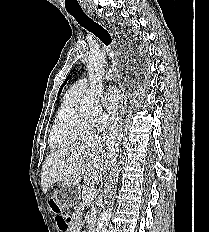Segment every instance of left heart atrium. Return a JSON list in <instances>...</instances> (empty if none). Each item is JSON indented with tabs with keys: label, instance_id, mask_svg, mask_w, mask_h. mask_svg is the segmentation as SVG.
Segmentation results:
<instances>
[{
	"label": "left heart atrium",
	"instance_id": "obj_1",
	"mask_svg": "<svg viewBox=\"0 0 209 232\" xmlns=\"http://www.w3.org/2000/svg\"><path fill=\"white\" fill-rule=\"evenodd\" d=\"M120 95L115 88H110L106 91L103 97V105L109 111L112 112L116 109Z\"/></svg>",
	"mask_w": 209,
	"mask_h": 232
}]
</instances>
